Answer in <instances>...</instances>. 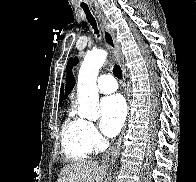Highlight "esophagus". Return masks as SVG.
Masks as SVG:
<instances>
[{
	"instance_id": "1",
	"label": "esophagus",
	"mask_w": 196,
	"mask_h": 182,
	"mask_svg": "<svg viewBox=\"0 0 196 182\" xmlns=\"http://www.w3.org/2000/svg\"><path fill=\"white\" fill-rule=\"evenodd\" d=\"M96 14L98 19L100 20V25H101V29L103 32V36L104 39L108 45V47L112 50L114 56L116 57L118 63L120 64L121 68H122V72H123V80H124V84L126 86V81H127V73H126V69L124 66V61L121 55V50L120 47L115 39V36L113 34V32L110 30L106 19L104 18V16L102 15V13L96 9ZM127 90V88H126ZM126 126L124 127L125 130ZM123 130V132H124ZM123 134V133H122ZM121 139H122V135L119 138V140L117 141L116 145L114 147L111 148V150L107 153V155L104 157L102 163L104 165L109 164L111 162L114 161V159L118 156L119 152H120V144H121Z\"/></svg>"
}]
</instances>
